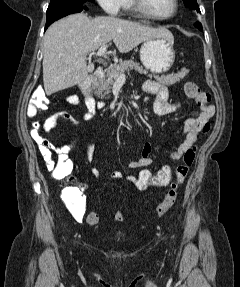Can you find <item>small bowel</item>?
I'll return each instance as SVG.
<instances>
[{
	"label": "small bowel",
	"instance_id": "small-bowel-1",
	"mask_svg": "<svg viewBox=\"0 0 240 287\" xmlns=\"http://www.w3.org/2000/svg\"><path fill=\"white\" fill-rule=\"evenodd\" d=\"M142 89L145 93L151 94L155 97L152 110L157 116L167 115L179 107L178 103L169 100L168 88L160 82L148 80L144 82ZM66 101L73 106L80 105V98L74 94L67 96ZM101 105L102 103H99V106ZM86 107L87 110L84 113V116L86 118H90L95 112V103L92 98L86 99ZM199 108L200 113L196 117H190L185 120L182 141L179 143L178 147L169 154V159L171 161H178L181 159L183 154L196 142L199 133L215 114V107L213 105H199ZM36 113L37 111L29 106L27 112L28 116L32 118ZM61 120L68 121L71 125L76 126L75 119L69 113L59 112L45 120L43 123V130L45 132L53 130ZM31 136L37 143L40 154L48 165L52 164V152H55L58 157L71 163L68 154L74 149L75 141L62 146H55L47 139L43 138L36 129L31 131ZM152 148V144L150 142H146L141 154L129 162V168L146 169L150 167L153 164V160L150 156ZM94 151V144L90 141H86V158L90 163L93 160ZM91 172L95 178L102 177L101 171L95 166L92 167ZM110 177L112 179H122L124 174L119 170H114L111 172ZM126 179L132 184L135 183V176L133 175H128ZM72 180L74 181L73 178ZM85 188L86 186L81 184L79 189L70 191L64 198L67 209L73 218L79 223L83 222L86 213V199L82 193Z\"/></svg>",
	"mask_w": 240,
	"mask_h": 287
}]
</instances>
